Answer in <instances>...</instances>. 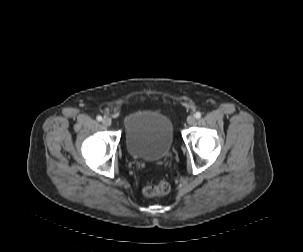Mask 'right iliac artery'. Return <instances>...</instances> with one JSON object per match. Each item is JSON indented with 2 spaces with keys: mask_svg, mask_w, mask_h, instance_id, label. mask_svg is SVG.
I'll return each mask as SVG.
<instances>
[{
  "mask_svg": "<svg viewBox=\"0 0 303 252\" xmlns=\"http://www.w3.org/2000/svg\"><path fill=\"white\" fill-rule=\"evenodd\" d=\"M96 119H97L98 121H101V120H102V117H101L100 115H98V116L96 117Z\"/></svg>",
  "mask_w": 303,
  "mask_h": 252,
  "instance_id": "1",
  "label": "right iliac artery"
}]
</instances>
